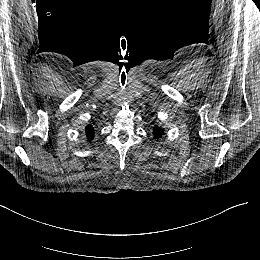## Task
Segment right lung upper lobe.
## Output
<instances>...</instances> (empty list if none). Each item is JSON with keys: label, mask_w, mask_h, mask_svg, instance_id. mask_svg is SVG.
I'll list each match as a JSON object with an SVG mask.
<instances>
[{"label": "right lung upper lobe", "mask_w": 260, "mask_h": 260, "mask_svg": "<svg viewBox=\"0 0 260 260\" xmlns=\"http://www.w3.org/2000/svg\"><path fill=\"white\" fill-rule=\"evenodd\" d=\"M85 134L89 141H91L94 138V129L92 125H87L85 128Z\"/></svg>", "instance_id": "cb5924a9"}]
</instances>
